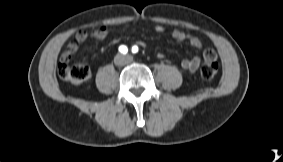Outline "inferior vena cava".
<instances>
[{"label":"inferior vena cava","mask_w":283,"mask_h":162,"mask_svg":"<svg viewBox=\"0 0 283 162\" xmlns=\"http://www.w3.org/2000/svg\"><path fill=\"white\" fill-rule=\"evenodd\" d=\"M126 62H127V61H126L125 57L123 56V57H122V61L119 62V63H117V64L123 65V64H125Z\"/></svg>","instance_id":"inferior-vena-cava-1"}]
</instances>
